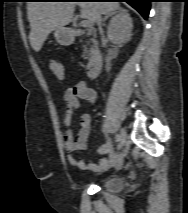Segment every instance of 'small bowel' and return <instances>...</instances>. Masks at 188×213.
Listing matches in <instances>:
<instances>
[{
	"instance_id": "1",
	"label": "small bowel",
	"mask_w": 188,
	"mask_h": 213,
	"mask_svg": "<svg viewBox=\"0 0 188 213\" xmlns=\"http://www.w3.org/2000/svg\"><path fill=\"white\" fill-rule=\"evenodd\" d=\"M63 98L66 104V110L62 121L65 126H69L71 124L73 115L79 108L80 100L95 103L98 100V93L93 88L89 87L85 82H78L77 84L69 86L64 90ZM91 121V115L89 113H83L80 116V127L76 137L74 138L69 130L64 132L63 138L65 149L68 152V162L72 166L90 171L105 170L109 166L116 169L121 168L123 165V157L113 151L112 144L109 141L98 146L96 149V152L103 156L100 159L99 164L85 162L74 155L76 151L86 150L89 148L88 139Z\"/></svg>"
}]
</instances>
